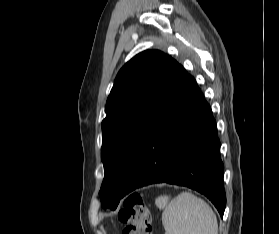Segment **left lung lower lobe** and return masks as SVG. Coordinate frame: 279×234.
<instances>
[{
    "instance_id": "left-lung-lower-lobe-1",
    "label": "left lung lower lobe",
    "mask_w": 279,
    "mask_h": 234,
    "mask_svg": "<svg viewBox=\"0 0 279 234\" xmlns=\"http://www.w3.org/2000/svg\"><path fill=\"white\" fill-rule=\"evenodd\" d=\"M223 172L211 108L194 78L179 65L147 128L121 197L153 183L182 185L204 194L222 217Z\"/></svg>"
}]
</instances>
